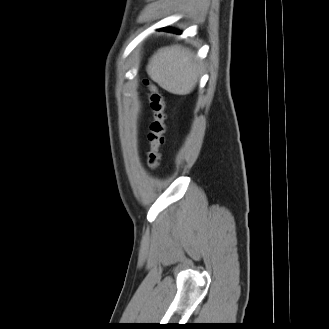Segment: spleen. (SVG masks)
<instances>
[{
    "label": "spleen",
    "mask_w": 329,
    "mask_h": 329,
    "mask_svg": "<svg viewBox=\"0 0 329 329\" xmlns=\"http://www.w3.org/2000/svg\"><path fill=\"white\" fill-rule=\"evenodd\" d=\"M146 71L166 91L186 95L196 85L200 65L188 49L173 45L159 49L149 60Z\"/></svg>",
    "instance_id": "3e777b00"
}]
</instances>
